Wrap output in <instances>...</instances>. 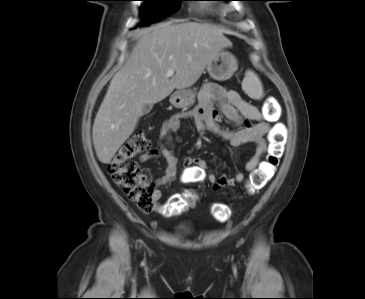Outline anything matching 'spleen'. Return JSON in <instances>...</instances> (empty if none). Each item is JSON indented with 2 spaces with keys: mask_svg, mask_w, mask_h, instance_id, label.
Instances as JSON below:
<instances>
[{
  "mask_svg": "<svg viewBox=\"0 0 365 299\" xmlns=\"http://www.w3.org/2000/svg\"><path fill=\"white\" fill-rule=\"evenodd\" d=\"M242 88L252 99L258 100L263 96L262 83L257 74L251 70L246 71L242 82Z\"/></svg>",
  "mask_w": 365,
  "mask_h": 299,
  "instance_id": "3e777b00",
  "label": "spleen"
}]
</instances>
